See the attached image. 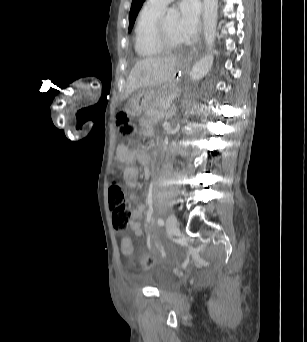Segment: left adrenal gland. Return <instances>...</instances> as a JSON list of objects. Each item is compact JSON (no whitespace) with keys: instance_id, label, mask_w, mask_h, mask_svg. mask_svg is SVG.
<instances>
[{"instance_id":"left-adrenal-gland-1","label":"left adrenal gland","mask_w":307,"mask_h":342,"mask_svg":"<svg viewBox=\"0 0 307 342\" xmlns=\"http://www.w3.org/2000/svg\"><path fill=\"white\" fill-rule=\"evenodd\" d=\"M175 110H176V106H175V104H172V108H171V112H170V118H173V116L175 114Z\"/></svg>"}]
</instances>
